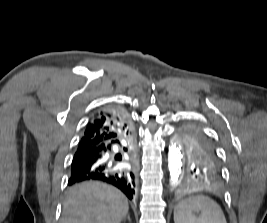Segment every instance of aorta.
Here are the masks:
<instances>
[{
  "mask_svg": "<svg viewBox=\"0 0 267 223\" xmlns=\"http://www.w3.org/2000/svg\"><path fill=\"white\" fill-rule=\"evenodd\" d=\"M183 154L178 140L172 141L168 152V168L171 183L175 186L181 179L184 170Z\"/></svg>",
  "mask_w": 267,
  "mask_h": 223,
  "instance_id": "1",
  "label": "aorta"
}]
</instances>
